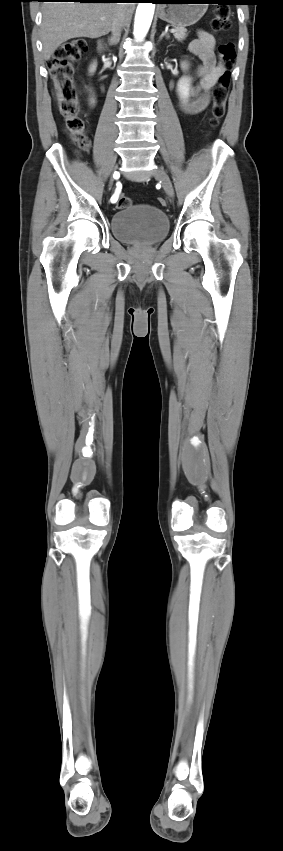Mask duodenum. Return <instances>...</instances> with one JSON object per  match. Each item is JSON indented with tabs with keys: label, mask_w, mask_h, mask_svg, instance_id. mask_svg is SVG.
Here are the masks:
<instances>
[{
	"label": "duodenum",
	"mask_w": 283,
	"mask_h": 851,
	"mask_svg": "<svg viewBox=\"0 0 283 851\" xmlns=\"http://www.w3.org/2000/svg\"><path fill=\"white\" fill-rule=\"evenodd\" d=\"M98 50H99L100 53H102L104 51V44L103 43H99Z\"/></svg>",
	"instance_id": "duodenum-1"
}]
</instances>
